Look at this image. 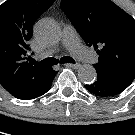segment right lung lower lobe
I'll list each match as a JSON object with an SVG mask.
<instances>
[{
    "instance_id": "right-lung-lower-lobe-1",
    "label": "right lung lower lobe",
    "mask_w": 135,
    "mask_h": 135,
    "mask_svg": "<svg viewBox=\"0 0 135 135\" xmlns=\"http://www.w3.org/2000/svg\"><path fill=\"white\" fill-rule=\"evenodd\" d=\"M56 74H57V71L51 70V74L47 80L43 82H39V83H34L31 87H29L26 90H23L17 93H10V94L22 100H30V99L39 97L43 95L44 93H46L51 88L52 81Z\"/></svg>"
}]
</instances>
